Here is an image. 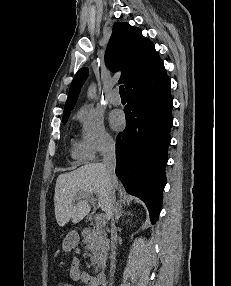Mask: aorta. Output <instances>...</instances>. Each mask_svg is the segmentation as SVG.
Returning a JSON list of instances; mask_svg holds the SVG:
<instances>
[{
	"label": "aorta",
	"instance_id": "1",
	"mask_svg": "<svg viewBox=\"0 0 231 286\" xmlns=\"http://www.w3.org/2000/svg\"><path fill=\"white\" fill-rule=\"evenodd\" d=\"M87 96L89 99H94L96 96V87L94 84L90 85L88 88Z\"/></svg>",
	"mask_w": 231,
	"mask_h": 286
}]
</instances>
